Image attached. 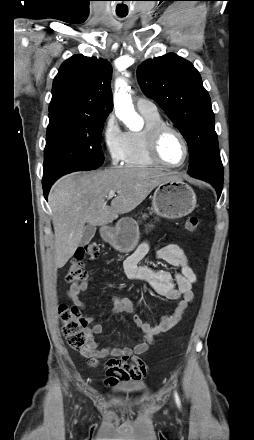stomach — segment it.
Masks as SVG:
<instances>
[{
  "label": "stomach",
  "instance_id": "stomach-1",
  "mask_svg": "<svg viewBox=\"0 0 254 440\" xmlns=\"http://www.w3.org/2000/svg\"><path fill=\"white\" fill-rule=\"evenodd\" d=\"M196 207L193 189L180 179L160 183L153 195L152 208L156 215L178 219L190 214ZM140 232L137 223L129 217L120 219L114 228L102 233V237L115 250L128 253L137 245Z\"/></svg>",
  "mask_w": 254,
  "mask_h": 440
}]
</instances>
